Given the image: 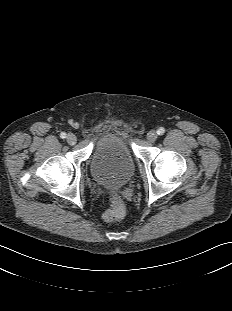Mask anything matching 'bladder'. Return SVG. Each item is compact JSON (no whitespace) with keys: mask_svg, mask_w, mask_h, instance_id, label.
Instances as JSON below:
<instances>
[{"mask_svg":"<svg viewBox=\"0 0 232 311\" xmlns=\"http://www.w3.org/2000/svg\"><path fill=\"white\" fill-rule=\"evenodd\" d=\"M90 168L94 180L100 185L119 188L126 184L135 170L126 139L114 132L102 135L94 145Z\"/></svg>","mask_w":232,"mask_h":311,"instance_id":"obj_1","label":"bladder"}]
</instances>
